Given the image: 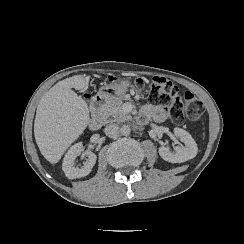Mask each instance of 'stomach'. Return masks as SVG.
<instances>
[{"label":"stomach","mask_w":244,"mask_h":244,"mask_svg":"<svg viewBox=\"0 0 244 244\" xmlns=\"http://www.w3.org/2000/svg\"><path fill=\"white\" fill-rule=\"evenodd\" d=\"M131 86H133L132 78L122 77L116 82L105 84L100 87L94 99L97 100V98H99L106 103L121 99Z\"/></svg>","instance_id":"stomach-1"}]
</instances>
